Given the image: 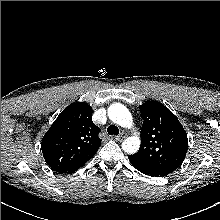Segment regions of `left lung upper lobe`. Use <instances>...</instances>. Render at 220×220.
I'll use <instances>...</instances> for the list:
<instances>
[{"label": "left lung upper lobe", "mask_w": 220, "mask_h": 220, "mask_svg": "<svg viewBox=\"0 0 220 220\" xmlns=\"http://www.w3.org/2000/svg\"><path fill=\"white\" fill-rule=\"evenodd\" d=\"M144 123L141 146L135 158L167 175L183 162L188 148L186 131L177 117L162 103L147 101L140 107Z\"/></svg>", "instance_id": "obj_1"}]
</instances>
